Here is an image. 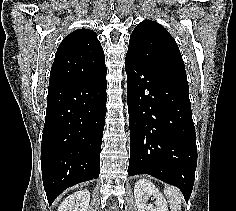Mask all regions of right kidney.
Listing matches in <instances>:
<instances>
[{
  "mask_svg": "<svg viewBox=\"0 0 236 211\" xmlns=\"http://www.w3.org/2000/svg\"><path fill=\"white\" fill-rule=\"evenodd\" d=\"M90 202V192L80 190L68 196L59 206L58 211H87Z\"/></svg>",
  "mask_w": 236,
  "mask_h": 211,
  "instance_id": "1",
  "label": "right kidney"
}]
</instances>
